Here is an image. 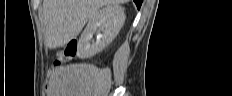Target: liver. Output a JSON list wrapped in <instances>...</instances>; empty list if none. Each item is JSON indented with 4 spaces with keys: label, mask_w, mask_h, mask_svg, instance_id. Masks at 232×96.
<instances>
[{
    "label": "liver",
    "mask_w": 232,
    "mask_h": 96,
    "mask_svg": "<svg viewBox=\"0 0 232 96\" xmlns=\"http://www.w3.org/2000/svg\"><path fill=\"white\" fill-rule=\"evenodd\" d=\"M128 0H43L45 44L54 49L76 38L97 10Z\"/></svg>",
    "instance_id": "obj_1"
}]
</instances>
